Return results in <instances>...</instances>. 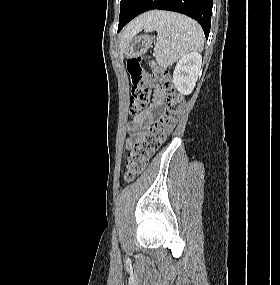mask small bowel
I'll return each mask as SVG.
<instances>
[{
	"label": "small bowel",
	"mask_w": 280,
	"mask_h": 285,
	"mask_svg": "<svg viewBox=\"0 0 280 285\" xmlns=\"http://www.w3.org/2000/svg\"><path fill=\"white\" fill-rule=\"evenodd\" d=\"M164 103V94L159 86L155 87L154 97L152 103L135 115L130 124L129 132L130 139L128 146H131L135 141L141 138L149 129L150 122L153 118L156 108L162 106Z\"/></svg>",
	"instance_id": "c3829d8e"
}]
</instances>
